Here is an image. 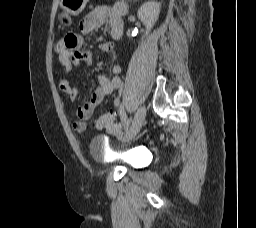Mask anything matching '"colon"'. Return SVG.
I'll list each match as a JSON object with an SVG mask.
<instances>
[{
    "label": "colon",
    "mask_w": 256,
    "mask_h": 228,
    "mask_svg": "<svg viewBox=\"0 0 256 228\" xmlns=\"http://www.w3.org/2000/svg\"><path fill=\"white\" fill-rule=\"evenodd\" d=\"M62 47V40L57 44V51H59ZM114 114L113 113H106L101 115L96 121L97 129L101 130L107 128L110 124L113 123Z\"/></svg>",
    "instance_id": "5ec220e1"
}]
</instances>
